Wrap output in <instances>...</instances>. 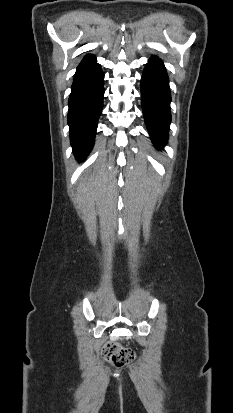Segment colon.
I'll return each instance as SVG.
<instances>
[{"mask_svg": "<svg viewBox=\"0 0 233 413\" xmlns=\"http://www.w3.org/2000/svg\"><path fill=\"white\" fill-rule=\"evenodd\" d=\"M104 357L114 366L122 367L133 361L135 354L132 349L116 342H108L103 347Z\"/></svg>", "mask_w": 233, "mask_h": 413, "instance_id": "colon-1", "label": "colon"}]
</instances>
